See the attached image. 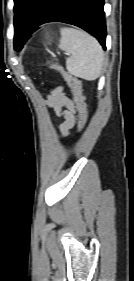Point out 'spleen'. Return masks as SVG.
Returning <instances> with one entry per match:
<instances>
[{
    "label": "spleen",
    "instance_id": "obj_1",
    "mask_svg": "<svg viewBox=\"0 0 134 281\" xmlns=\"http://www.w3.org/2000/svg\"><path fill=\"white\" fill-rule=\"evenodd\" d=\"M60 49L69 54L66 69L76 77L93 81L100 76L104 53L98 41L85 31L64 27L60 30Z\"/></svg>",
    "mask_w": 134,
    "mask_h": 281
}]
</instances>
